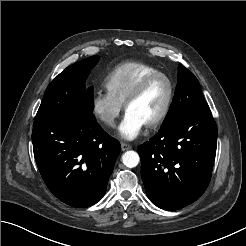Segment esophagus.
Returning <instances> with one entry per match:
<instances>
[{
	"instance_id": "1",
	"label": "esophagus",
	"mask_w": 246,
	"mask_h": 246,
	"mask_svg": "<svg viewBox=\"0 0 246 246\" xmlns=\"http://www.w3.org/2000/svg\"><path fill=\"white\" fill-rule=\"evenodd\" d=\"M121 149H122V151H126V150H128V149H131V145L122 142V143H121Z\"/></svg>"
}]
</instances>
